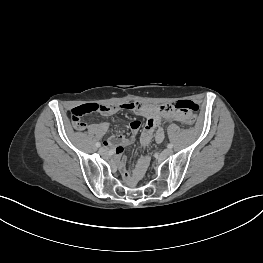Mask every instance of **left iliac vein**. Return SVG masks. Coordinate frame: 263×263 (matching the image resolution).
<instances>
[{
	"instance_id": "1",
	"label": "left iliac vein",
	"mask_w": 263,
	"mask_h": 263,
	"mask_svg": "<svg viewBox=\"0 0 263 263\" xmlns=\"http://www.w3.org/2000/svg\"><path fill=\"white\" fill-rule=\"evenodd\" d=\"M173 154V150L172 149H170V148H168V149H165L163 152H162V157H168V156H170V155H172Z\"/></svg>"
}]
</instances>
